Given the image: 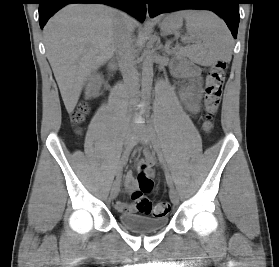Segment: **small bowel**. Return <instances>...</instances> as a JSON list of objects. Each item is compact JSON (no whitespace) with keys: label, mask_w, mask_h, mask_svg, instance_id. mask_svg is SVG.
<instances>
[{"label":"small bowel","mask_w":279,"mask_h":267,"mask_svg":"<svg viewBox=\"0 0 279 267\" xmlns=\"http://www.w3.org/2000/svg\"><path fill=\"white\" fill-rule=\"evenodd\" d=\"M176 74L180 77H186L191 79L194 84H198L200 81L199 70L194 66H186L184 68L178 69ZM180 97L188 109V111L192 114L197 113L198 111V97L195 93L193 87H185L180 91ZM145 162L152 164L153 158L149 153L145 155ZM126 188L128 191H134L136 189V181L132 173H128L126 175ZM116 209L121 213H130L134 211V205L128 204L122 201H118L115 204Z\"/></svg>","instance_id":"obj_1"}]
</instances>
